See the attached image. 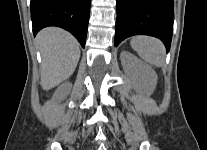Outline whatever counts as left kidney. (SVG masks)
<instances>
[{
	"label": "left kidney",
	"mask_w": 207,
	"mask_h": 150,
	"mask_svg": "<svg viewBox=\"0 0 207 150\" xmlns=\"http://www.w3.org/2000/svg\"><path fill=\"white\" fill-rule=\"evenodd\" d=\"M121 62L126 72L131 71L133 67L139 70L143 81V93L151 95L157 84L156 72L128 52L121 53Z\"/></svg>",
	"instance_id": "left-kidney-1"
}]
</instances>
